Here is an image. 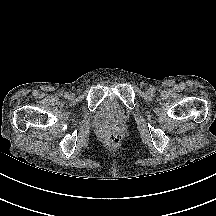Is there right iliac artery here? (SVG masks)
<instances>
[{"label":"right iliac artery","mask_w":216,"mask_h":216,"mask_svg":"<svg viewBox=\"0 0 216 216\" xmlns=\"http://www.w3.org/2000/svg\"><path fill=\"white\" fill-rule=\"evenodd\" d=\"M64 97L65 98H68L69 97V94L66 92V93H64Z\"/></svg>","instance_id":"right-iliac-artery-1"}]
</instances>
